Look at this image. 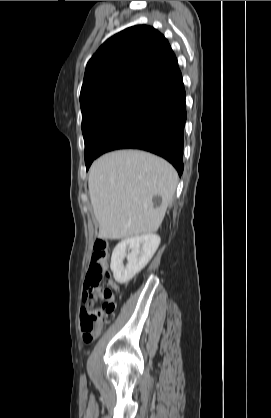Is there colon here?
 Returning <instances> with one entry per match:
<instances>
[{
    "mask_svg": "<svg viewBox=\"0 0 271 418\" xmlns=\"http://www.w3.org/2000/svg\"><path fill=\"white\" fill-rule=\"evenodd\" d=\"M107 261V243L103 240H96L86 278L89 289L84 292L83 301L85 306L80 313L81 330L83 339L86 343H90L95 339L108 316L111 315L116 308L112 291L107 288L97 289L102 282L109 283L111 281L107 270ZM97 294L101 296L103 302L99 307L94 308L93 303Z\"/></svg>",
    "mask_w": 271,
    "mask_h": 418,
    "instance_id": "obj_1",
    "label": "colon"
}]
</instances>
